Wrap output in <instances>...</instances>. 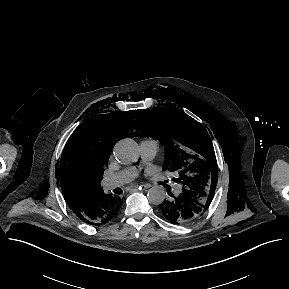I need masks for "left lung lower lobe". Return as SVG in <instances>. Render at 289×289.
Returning <instances> with one entry per match:
<instances>
[{"label":"left lung lower lobe","instance_id":"1","mask_svg":"<svg viewBox=\"0 0 289 289\" xmlns=\"http://www.w3.org/2000/svg\"><path fill=\"white\" fill-rule=\"evenodd\" d=\"M215 191V190H214ZM213 190L206 192L204 186L183 187L178 196L159 205L162 215L172 223L189 224L202 216L211 204ZM214 195V194H213Z\"/></svg>","mask_w":289,"mask_h":289}]
</instances>
